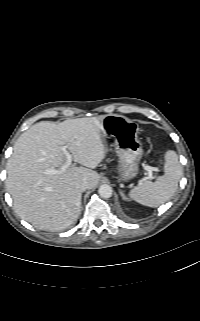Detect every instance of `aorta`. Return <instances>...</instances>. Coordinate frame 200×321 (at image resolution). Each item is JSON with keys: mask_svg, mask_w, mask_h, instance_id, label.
I'll return each instance as SVG.
<instances>
[{"mask_svg": "<svg viewBox=\"0 0 200 321\" xmlns=\"http://www.w3.org/2000/svg\"><path fill=\"white\" fill-rule=\"evenodd\" d=\"M98 192H99V195L102 197V198H110L112 196V187L110 185H107V184H103L99 187L98 189Z\"/></svg>", "mask_w": 200, "mask_h": 321, "instance_id": "1", "label": "aorta"}]
</instances>
